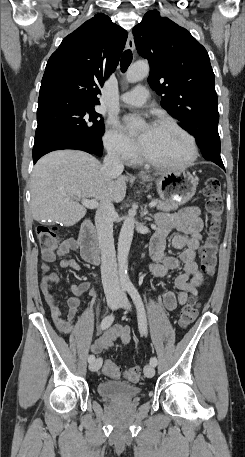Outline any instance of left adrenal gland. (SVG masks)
I'll use <instances>...</instances> for the list:
<instances>
[{
    "label": "left adrenal gland",
    "instance_id": "obj_1",
    "mask_svg": "<svg viewBox=\"0 0 245 457\" xmlns=\"http://www.w3.org/2000/svg\"><path fill=\"white\" fill-rule=\"evenodd\" d=\"M144 214H148V210H147L146 206L144 208L143 216H144ZM149 216H153V214H149Z\"/></svg>",
    "mask_w": 245,
    "mask_h": 457
}]
</instances>
